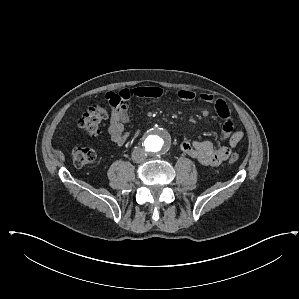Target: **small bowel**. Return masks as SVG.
Masks as SVG:
<instances>
[{
	"mask_svg": "<svg viewBox=\"0 0 299 299\" xmlns=\"http://www.w3.org/2000/svg\"><path fill=\"white\" fill-rule=\"evenodd\" d=\"M164 95L158 86H142L126 88L118 92L108 93L106 100L111 106L108 115L107 137L116 145H123L129 138L126 124L129 121V102L134 99L148 98L160 99ZM178 96L183 101H192L196 98L193 91L181 89ZM199 99L213 105L217 115L222 120V141L228 146L215 147L208 141L183 140L180 144L181 150L196 159L205 166H218L227 160L231 148H235L244 138V132L234 129V123L226 101L222 98H214L212 95L202 93Z\"/></svg>",
	"mask_w": 299,
	"mask_h": 299,
	"instance_id": "small-bowel-1",
	"label": "small bowel"
}]
</instances>
